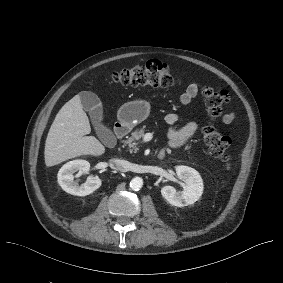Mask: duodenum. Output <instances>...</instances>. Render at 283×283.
<instances>
[{"label":"duodenum","instance_id":"1","mask_svg":"<svg viewBox=\"0 0 283 283\" xmlns=\"http://www.w3.org/2000/svg\"><path fill=\"white\" fill-rule=\"evenodd\" d=\"M128 132V126L126 123L124 122H118L115 124L114 126V135L117 139H122ZM158 158L160 160L165 158V151L161 150L158 153Z\"/></svg>","mask_w":283,"mask_h":283}]
</instances>
